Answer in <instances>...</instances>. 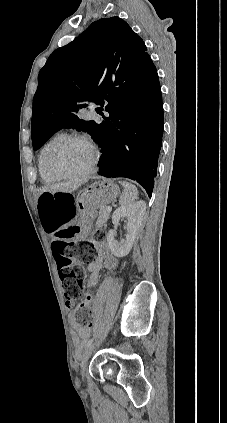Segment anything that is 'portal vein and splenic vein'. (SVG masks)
Wrapping results in <instances>:
<instances>
[{"label":"portal vein and splenic vein","mask_w":227,"mask_h":423,"mask_svg":"<svg viewBox=\"0 0 227 423\" xmlns=\"http://www.w3.org/2000/svg\"><path fill=\"white\" fill-rule=\"evenodd\" d=\"M106 210H107V211H111V210H112V208H110V206H107Z\"/></svg>","instance_id":"portal-vein-and-splenic-vein-1"}]
</instances>
